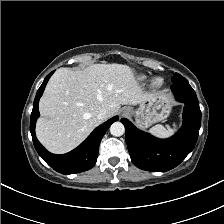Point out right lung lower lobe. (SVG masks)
I'll list each match as a JSON object with an SVG mask.
<instances>
[{
  "label": "right lung lower lobe",
  "mask_w": 224,
  "mask_h": 224,
  "mask_svg": "<svg viewBox=\"0 0 224 224\" xmlns=\"http://www.w3.org/2000/svg\"><path fill=\"white\" fill-rule=\"evenodd\" d=\"M53 73L54 71L48 74L44 79L42 85L37 91L33 104L30 121V132L35 149L49 166L62 174H74L89 170L95 165L97 161L99 144L102 137L104 136L110 125L113 122L117 121L118 116L109 119L108 121L97 127L81 145H79L71 152L63 155H55L48 152L36 138L35 124L37 118L39 117V99L42 96L44 88Z\"/></svg>",
  "instance_id": "1"
}]
</instances>
